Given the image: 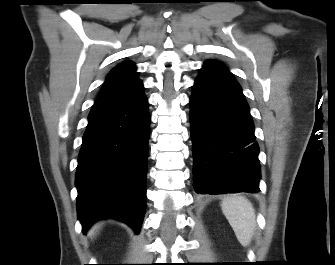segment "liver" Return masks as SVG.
Returning a JSON list of instances; mask_svg holds the SVG:
<instances>
[{
    "label": "liver",
    "instance_id": "1",
    "mask_svg": "<svg viewBox=\"0 0 335 265\" xmlns=\"http://www.w3.org/2000/svg\"><path fill=\"white\" fill-rule=\"evenodd\" d=\"M97 228V226H95L93 229H96ZM91 234H93V232H91Z\"/></svg>",
    "mask_w": 335,
    "mask_h": 265
}]
</instances>
